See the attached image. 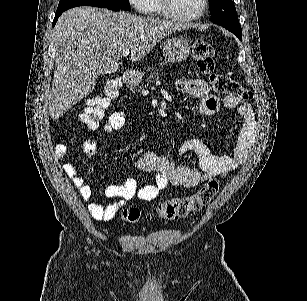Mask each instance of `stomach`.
Returning <instances> with one entry per match:
<instances>
[{
  "label": "stomach",
  "instance_id": "obj_1",
  "mask_svg": "<svg viewBox=\"0 0 307 301\" xmlns=\"http://www.w3.org/2000/svg\"><path fill=\"white\" fill-rule=\"evenodd\" d=\"M190 54V44L185 38L180 36H172L166 38L163 44V56L166 62H183ZM145 72H134L129 78L130 84H138L141 82Z\"/></svg>",
  "mask_w": 307,
  "mask_h": 301
}]
</instances>
